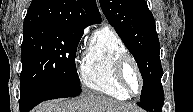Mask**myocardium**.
<instances>
[{
  "label": "myocardium",
  "mask_w": 193,
  "mask_h": 112,
  "mask_svg": "<svg viewBox=\"0 0 193 112\" xmlns=\"http://www.w3.org/2000/svg\"><path fill=\"white\" fill-rule=\"evenodd\" d=\"M128 66H131L133 68L137 76V80H138L137 92H134L131 89L130 84L127 80L126 69ZM114 72L118 83L127 92L128 95L137 96L141 94L143 90L142 73L140 71V68L138 66L136 59L129 52H124L117 57L114 63Z\"/></svg>",
  "instance_id": "1"
}]
</instances>
